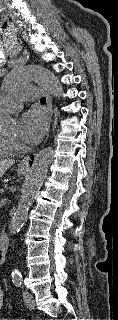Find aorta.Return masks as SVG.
Here are the masks:
<instances>
[{
  "mask_svg": "<svg viewBox=\"0 0 118 320\" xmlns=\"http://www.w3.org/2000/svg\"><path fill=\"white\" fill-rule=\"evenodd\" d=\"M30 81L40 83L53 97L60 98L63 95L62 84L55 74L38 65L25 66L21 69L12 70L5 77V87L2 91H10L12 88ZM16 125L17 120L13 116L9 114L0 116L1 129L12 130ZM53 157L54 150L51 147L44 148L37 154L32 165V170L22 189L16 211L9 224L8 229L10 234L18 233L26 222L28 210L43 185L48 168L53 161ZM11 277L13 280H20L21 272L18 269H14L11 273Z\"/></svg>",
  "mask_w": 118,
  "mask_h": 320,
  "instance_id": "obj_1",
  "label": "aorta"
}]
</instances>
